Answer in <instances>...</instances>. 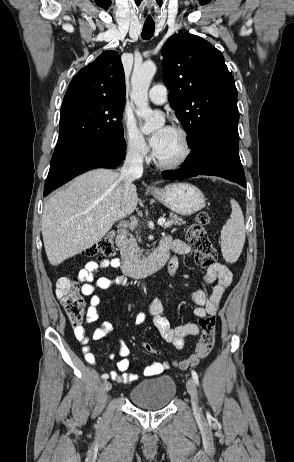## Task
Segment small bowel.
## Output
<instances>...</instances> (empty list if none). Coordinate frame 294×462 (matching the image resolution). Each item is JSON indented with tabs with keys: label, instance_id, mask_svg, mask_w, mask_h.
I'll list each match as a JSON object with an SVG mask.
<instances>
[{
	"label": "small bowel",
	"instance_id": "1",
	"mask_svg": "<svg viewBox=\"0 0 294 462\" xmlns=\"http://www.w3.org/2000/svg\"><path fill=\"white\" fill-rule=\"evenodd\" d=\"M162 242L168 243L169 248L175 256L171 259L168 267L169 275L174 277L178 270L179 261L178 255H186L191 252V248L182 240L165 238ZM119 268L121 261L118 258L110 260H103L101 262L90 261L78 274V279L82 283L81 292L85 296L90 297L89 307L86 314V323H93L98 319L97 306L100 303V295L97 290L103 291L111 286H125L127 279L124 275H118L113 279L107 277H97V273L105 268ZM205 284L215 283L212 292L209 294L203 289H195L187 294L188 299L197 307L194 309V314L198 317L206 315H215L218 311L219 305L223 298L226 289L232 283V273L223 264L215 263L208 267L206 274L203 277ZM165 304L162 298L153 299L148 306V313L152 321L160 333L161 337L169 344L177 349H183L185 340L188 336H196L199 334V326L195 323H185L172 327L169 320L163 316ZM146 319V314L140 312L136 316V323L140 324ZM112 330V325L109 322H104L93 333L94 340L102 339L107 333ZM74 335L82 345V352L85 360L95 365V356L92 353L89 345V338L86 334L84 326H77L74 328ZM119 355L121 359L117 362V370L110 372V377L119 383H131L135 381L138 376L128 372L129 369V355L130 350L123 341H118ZM113 355H111V358ZM167 362H153L144 369L145 376H156L161 374L164 370L168 369Z\"/></svg>",
	"mask_w": 294,
	"mask_h": 462
}]
</instances>
